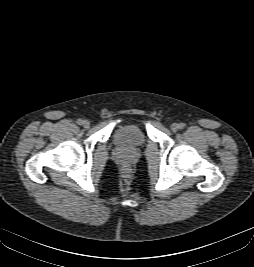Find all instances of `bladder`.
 <instances>
[{
	"label": "bladder",
	"mask_w": 254,
	"mask_h": 267,
	"mask_svg": "<svg viewBox=\"0 0 254 267\" xmlns=\"http://www.w3.org/2000/svg\"><path fill=\"white\" fill-rule=\"evenodd\" d=\"M114 143L121 149L133 150L142 147L146 142L143 130L136 124L118 126L113 133Z\"/></svg>",
	"instance_id": "1"
}]
</instances>
